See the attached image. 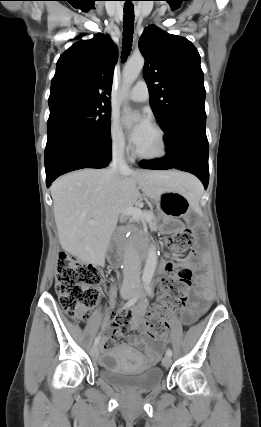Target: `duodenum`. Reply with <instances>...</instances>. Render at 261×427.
<instances>
[{
  "label": "duodenum",
  "instance_id": "410a0bca",
  "mask_svg": "<svg viewBox=\"0 0 261 427\" xmlns=\"http://www.w3.org/2000/svg\"><path fill=\"white\" fill-rule=\"evenodd\" d=\"M120 241H121L120 235H117L113 238L112 247L110 250L109 257H108L110 265L114 268H118L122 264V258H121V255L119 253Z\"/></svg>",
  "mask_w": 261,
  "mask_h": 427
}]
</instances>
